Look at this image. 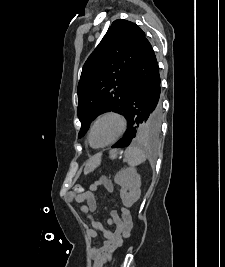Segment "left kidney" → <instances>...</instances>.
I'll return each instance as SVG.
<instances>
[{
	"label": "left kidney",
	"instance_id": "obj_1",
	"mask_svg": "<svg viewBox=\"0 0 225 267\" xmlns=\"http://www.w3.org/2000/svg\"><path fill=\"white\" fill-rule=\"evenodd\" d=\"M114 181L121 186L120 197L125 207L130 208L141 195V177L134 168L119 171Z\"/></svg>",
	"mask_w": 225,
	"mask_h": 267
}]
</instances>
